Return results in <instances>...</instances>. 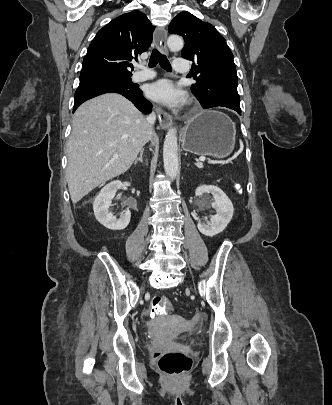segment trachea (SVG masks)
I'll return each instance as SVG.
<instances>
[{"mask_svg":"<svg viewBox=\"0 0 332 405\" xmlns=\"http://www.w3.org/2000/svg\"><path fill=\"white\" fill-rule=\"evenodd\" d=\"M158 63L163 69H165L167 71L172 70L171 64L168 61L167 57L165 55L161 54L157 49H153L150 59H149V67L153 68Z\"/></svg>","mask_w":332,"mask_h":405,"instance_id":"1","label":"trachea"}]
</instances>
